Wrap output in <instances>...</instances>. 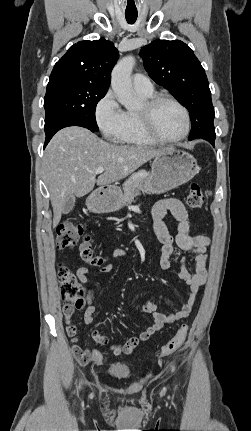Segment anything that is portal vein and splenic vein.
<instances>
[{
  "mask_svg": "<svg viewBox=\"0 0 251 431\" xmlns=\"http://www.w3.org/2000/svg\"><path fill=\"white\" fill-rule=\"evenodd\" d=\"M103 171H104V168H103V167H99V168H97V169L94 171V173H95V174H101V173H103Z\"/></svg>",
  "mask_w": 251,
  "mask_h": 431,
  "instance_id": "obj_1",
  "label": "portal vein and splenic vein"
}]
</instances>
